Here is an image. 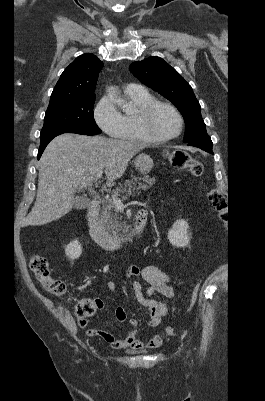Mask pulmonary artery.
<instances>
[{
	"label": "pulmonary artery",
	"instance_id": "1",
	"mask_svg": "<svg viewBox=\"0 0 265 401\" xmlns=\"http://www.w3.org/2000/svg\"><path fill=\"white\" fill-rule=\"evenodd\" d=\"M138 89H139L138 86L132 85V84H128V85H126V86L124 87V90H125V91H136V90H138Z\"/></svg>",
	"mask_w": 265,
	"mask_h": 401
}]
</instances>
